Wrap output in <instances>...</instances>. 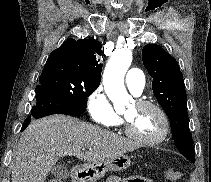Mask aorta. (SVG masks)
<instances>
[{
	"instance_id": "aorta-1",
	"label": "aorta",
	"mask_w": 211,
	"mask_h": 182,
	"mask_svg": "<svg viewBox=\"0 0 211 182\" xmlns=\"http://www.w3.org/2000/svg\"><path fill=\"white\" fill-rule=\"evenodd\" d=\"M131 62L132 53L130 50L115 51L104 70V89L116 109L126 104L130 99L124 85V77Z\"/></svg>"
}]
</instances>
